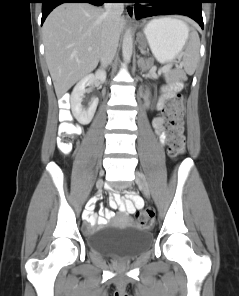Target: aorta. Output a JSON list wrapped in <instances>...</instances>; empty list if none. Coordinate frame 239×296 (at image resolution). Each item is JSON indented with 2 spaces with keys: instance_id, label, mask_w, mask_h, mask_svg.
<instances>
[{
  "instance_id": "762f6f07",
  "label": "aorta",
  "mask_w": 239,
  "mask_h": 296,
  "mask_svg": "<svg viewBox=\"0 0 239 296\" xmlns=\"http://www.w3.org/2000/svg\"><path fill=\"white\" fill-rule=\"evenodd\" d=\"M133 52V37L130 29H127L122 43V55L123 59L126 63H128L131 59Z\"/></svg>"
}]
</instances>
